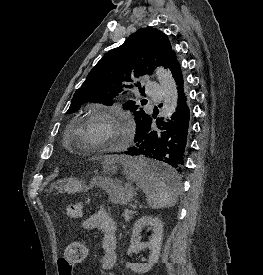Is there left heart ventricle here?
<instances>
[{
  "mask_svg": "<svg viewBox=\"0 0 263 275\" xmlns=\"http://www.w3.org/2000/svg\"><path fill=\"white\" fill-rule=\"evenodd\" d=\"M109 127L102 121H94L86 130V136L91 139H101L107 136Z\"/></svg>",
  "mask_w": 263,
  "mask_h": 275,
  "instance_id": "left-heart-ventricle-1",
  "label": "left heart ventricle"
}]
</instances>
